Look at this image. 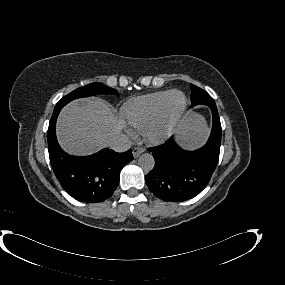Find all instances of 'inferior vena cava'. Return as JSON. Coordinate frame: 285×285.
Segmentation results:
<instances>
[{"mask_svg": "<svg viewBox=\"0 0 285 285\" xmlns=\"http://www.w3.org/2000/svg\"><path fill=\"white\" fill-rule=\"evenodd\" d=\"M108 146L116 152H125L131 147V141L125 134H118L108 140Z\"/></svg>", "mask_w": 285, "mask_h": 285, "instance_id": "inferior-vena-cava-1", "label": "inferior vena cava"}]
</instances>
